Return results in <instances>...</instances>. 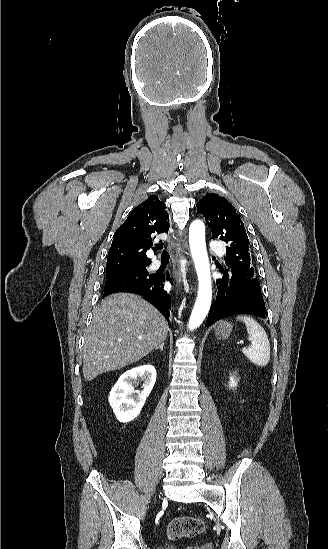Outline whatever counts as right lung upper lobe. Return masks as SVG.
Masks as SVG:
<instances>
[{"mask_svg":"<svg viewBox=\"0 0 328 549\" xmlns=\"http://www.w3.org/2000/svg\"><path fill=\"white\" fill-rule=\"evenodd\" d=\"M169 217L165 204L156 195H150L135 207L126 221L117 229L108 252L107 273L147 267L151 260L146 252L156 235L167 233Z\"/></svg>","mask_w":328,"mask_h":549,"instance_id":"obj_1","label":"right lung upper lobe"}]
</instances>
